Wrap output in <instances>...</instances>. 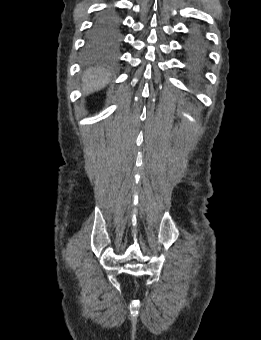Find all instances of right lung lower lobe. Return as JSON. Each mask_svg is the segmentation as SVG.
Listing matches in <instances>:
<instances>
[{
	"label": "right lung lower lobe",
	"mask_w": 261,
	"mask_h": 340,
	"mask_svg": "<svg viewBox=\"0 0 261 340\" xmlns=\"http://www.w3.org/2000/svg\"><path fill=\"white\" fill-rule=\"evenodd\" d=\"M104 12L117 14L114 8H108V9L104 10Z\"/></svg>",
	"instance_id": "1"
}]
</instances>
